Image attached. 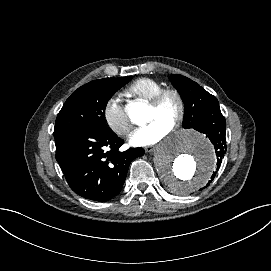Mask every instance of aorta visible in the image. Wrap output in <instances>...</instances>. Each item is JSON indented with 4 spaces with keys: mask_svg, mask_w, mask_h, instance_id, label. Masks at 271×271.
Here are the masks:
<instances>
[{
    "mask_svg": "<svg viewBox=\"0 0 271 271\" xmlns=\"http://www.w3.org/2000/svg\"><path fill=\"white\" fill-rule=\"evenodd\" d=\"M129 118L136 124L147 120L142 103L130 107ZM155 168L172 192L180 195L204 186L215 169L216 157L208 140L194 131H180L156 148Z\"/></svg>",
    "mask_w": 271,
    "mask_h": 271,
    "instance_id": "762f6f07",
    "label": "aorta"
}]
</instances>
